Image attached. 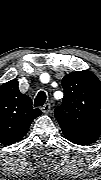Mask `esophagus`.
Wrapping results in <instances>:
<instances>
[{
  "label": "esophagus",
  "mask_w": 101,
  "mask_h": 180,
  "mask_svg": "<svg viewBox=\"0 0 101 180\" xmlns=\"http://www.w3.org/2000/svg\"><path fill=\"white\" fill-rule=\"evenodd\" d=\"M50 109H51V105L49 103H47L41 107V111L45 114H47L50 111Z\"/></svg>",
  "instance_id": "1"
}]
</instances>
